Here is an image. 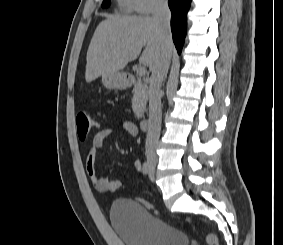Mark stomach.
Listing matches in <instances>:
<instances>
[{
    "instance_id": "obj_1",
    "label": "stomach",
    "mask_w": 283,
    "mask_h": 245,
    "mask_svg": "<svg viewBox=\"0 0 283 245\" xmlns=\"http://www.w3.org/2000/svg\"><path fill=\"white\" fill-rule=\"evenodd\" d=\"M102 82L108 89L123 88L126 84L125 76L119 71H110L102 75Z\"/></svg>"
}]
</instances>
